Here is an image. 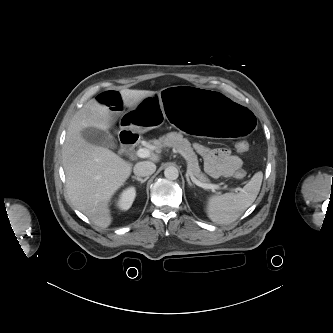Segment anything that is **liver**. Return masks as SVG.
<instances>
[{
    "instance_id": "liver-1",
    "label": "liver",
    "mask_w": 333,
    "mask_h": 333,
    "mask_svg": "<svg viewBox=\"0 0 333 333\" xmlns=\"http://www.w3.org/2000/svg\"><path fill=\"white\" fill-rule=\"evenodd\" d=\"M154 93L149 90L120 91L124 105L129 108H135ZM112 120L106 105L96 99L90 100L70 121L62 149L68 199L102 228L112 222L110 199L130 176L132 164L105 147L87 142L81 132L89 127L107 131ZM152 160L158 161L159 157L154 156Z\"/></svg>"
}]
</instances>
